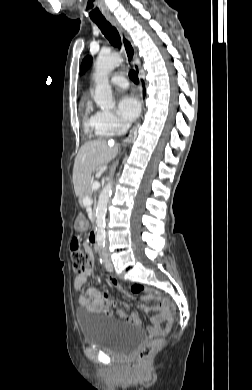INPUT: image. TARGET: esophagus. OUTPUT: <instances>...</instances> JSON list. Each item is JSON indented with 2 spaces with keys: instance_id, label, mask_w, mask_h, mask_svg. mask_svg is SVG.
Segmentation results:
<instances>
[{
  "instance_id": "esophagus-1",
  "label": "esophagus",
  "mask_w": 252,
  "mask_h": 390,
  "mask_svg": "<svg viewBox=\"0 0 252 390\" xmlns=\"http://www.w3.org/2000/svg\"><path fill=\"white\" fill-rule=\"evenodd\" d=\"M106 18L117 29V31L120 35L123 50H124L128 65L131 68H133L140 75V67L136 63L137 54H136V50H135V47H134L131 39L129 38V36L127 35L125 30L123 29L122 25L119 23V21L115 17L108 15V16H106ZM137 127H138V124L130 131L128 137L125 140H123V145H126L127 143L130 142Z\"/></svg>"
}]
</instances>
